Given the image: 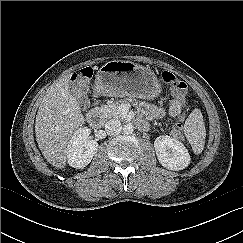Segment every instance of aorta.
<instances>
[{
    "label": "aorta",
    "instance_id": "762f6f07",
    "mask_svg": "<svg viewBox=\"0 0 243 243\" xmlns=\"http://www.w3.org/2000/svg\"><path fill=\"white\" fill-rule=\"evenodd\" d=\"M134 131V126L131 123L125 124L123 126V132L124 134H132Z\"/></svg>",
    "mask_w": 243,
    "mask_h": 243
}]
</instances>
